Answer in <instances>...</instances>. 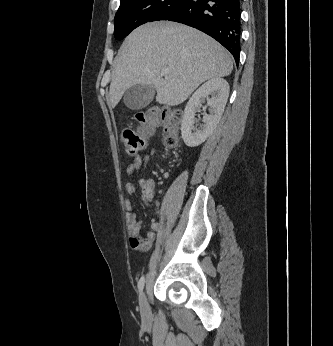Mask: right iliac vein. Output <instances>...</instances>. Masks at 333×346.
<instances>
[{"mask_svg":"<svg viewBox=\"0 0 333 346\" xmlns=\"http://www.w3.org/2000/svg\"><path fill=\"white\" fill-rule=\"evenodd\" d=\"M140 312L143 322L145 324H149L151 321L152 313L148 298L144 292H142L140 295Z\"/></svg>","mask_w":333,"mask_h":346,"instance_id":"63e3f726","label":"right iliac vein"}]
</instances>
